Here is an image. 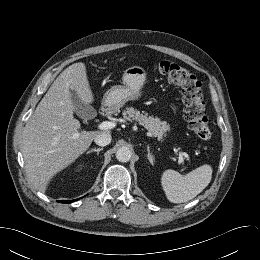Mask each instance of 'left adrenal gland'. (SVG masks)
Returning a JSON list of instances; mask_svg holds the SVG:
<instances>
[{"label":"left adrenal gland","mask_w":260,"mask_h":260,"mask_svg":"<svg viewBox=\"0 0 260 260\" xmlns=\"http://www.w3.org/2000/svg\"><path fill=\"white\" fill-rule=\"evenodd\" d=\"M147 159L149 160V162L153 165L154 163V156L152 155V153L150 152V147L149 145H147Z\"/></svg>","instance_id":"obj_1"}]
</instances>
